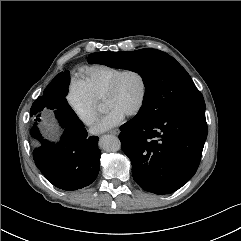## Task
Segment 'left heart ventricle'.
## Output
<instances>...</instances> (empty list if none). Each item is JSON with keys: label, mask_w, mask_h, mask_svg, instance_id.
Returning <instances> with one entry per match:
<instances>
[{"label": "left heart ventricle", "mask_w": 241, "mask_h": 241, "mask_svg": "<svg viewBox=\"0 0 241 241\" xmlns=\"http://www.w3.org/2000/svg\"><path fill=\"white\" fill-rule=\"evenodd\" d=\"M142 85L134 73L126 74L120 80L115 92L103 100L105 109L117 108L123 113H129L139 101Z\"/></svg>", "instance_id": "1"}]
</instances>
